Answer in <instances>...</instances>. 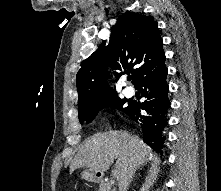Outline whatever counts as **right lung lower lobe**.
Masks as SVG:
<instances>
[{
    "label": "right lung lower lobe",
    "instance_id": "1",
    "mask_svg": "<svg viewBox=\"0 0 221 191\" xmlns=\"http://www.w3.org/2000/svg\"><path fill=\"white\" fill-rule=\"evenodd\" d=\"M164 62L163 54L134 84L141 92V97L146 100L143 103L130 102L127 112V115L139 124L143 141L160 154L164 148L167 115L171 104L168 99L167 68ZM141 110H145L146 114L142 115Z\"/></svg>",
    "mask_w": 221,
    "mask_h": 191
}]
</instances>
